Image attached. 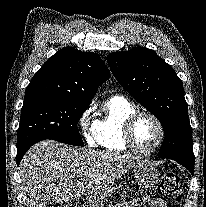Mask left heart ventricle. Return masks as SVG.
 Segmentation results:
<instances>
[{
	"label": "left heart ventricle",
	"instance_id": "1",
	"mask_svg": "<svg viewBox=\"0 0 206 207\" xmlns=\"http://www.w3.org/2000/svg\"><path fill=\"white\" fill-rule=\"evenodd\" d=\"M159 131L155 122L148 118H140L133 128V138L137 147L142 150L151 149L157 142Z\"/></svg>",
	"mask_w": 206,
	"mask_h": 207
}]
</instances>
